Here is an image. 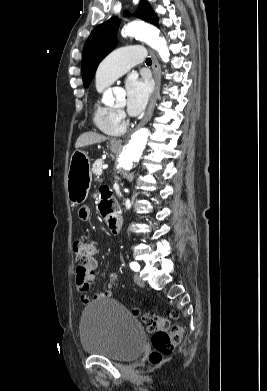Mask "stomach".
Masks as SVG:
<instances>
[{
    "instance_id": "1",
    "label": "stomach",
    "mask_w": 267,
    "mask_h": 391,
    "mask_svg": "<svg viewBox=\"0 0 267 391\" xmlns=\"http://www.w3.org/2000/svg\"><path fill=\"white\" fill-rule=\"evenodd\" d=\"M112 152H117L119 147L110 146ZM91 163L88 156L76 150L70 160L67 174L68 199L74 205L82 204L87 198L91 184Z\"/></svg>"
}]
</instances>
